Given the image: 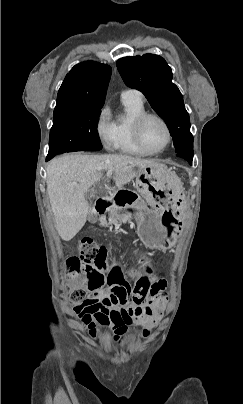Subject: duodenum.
I'll list each match as a JSON object with an SVG mask.
<instances>
[{
	"mask_svg": "<svg viewBox=\"0 0 243 404\" xmlns=\"http://www.w3.org/2000/svg\"><path fill=\"white\" fill-rule=\"evenodd\" d=\"M137 196L134 192L119 188L108 197L96 200L94 208L96 214H103L106 210H121L130 207L136 200Z\"/></svg>",
	"mask_w": 243,
	"mask_h": 404,
	"instance_id": "1",
	"label": "duodenum"
}]
</instances>
